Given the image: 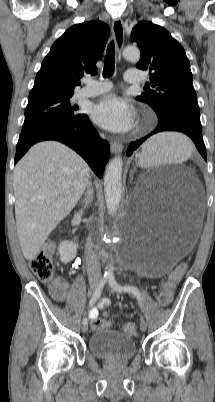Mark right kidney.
I'll return each instance as SVG.
<instances>
[{"mask_svg":"<svg viewBox=\"0 0 215 402\" xmlns=\"http://www.w3.org/2000/svg\"><path fill=\"white\" fill-rule=\"evenodd\" d=\"M60 260L63 263L71 261L77 253V244L71 241H63L58 248Z\"/></svg>","mask_w":215,"mask_h":402,"instance_id":"right-kidney-1","label":"right kidney"}]
</instances>
